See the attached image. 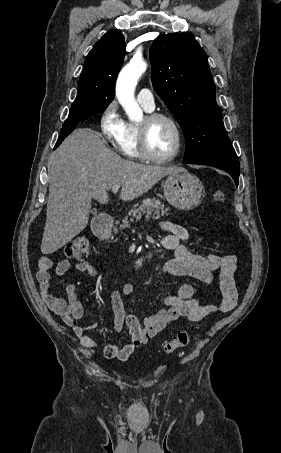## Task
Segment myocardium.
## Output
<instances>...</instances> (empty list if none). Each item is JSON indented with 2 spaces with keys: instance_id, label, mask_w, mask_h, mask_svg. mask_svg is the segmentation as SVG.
I'll list each match as a JSON object with an SVG mask.
<instances>
[{
  "instance_id": "f54148a6",
  "label": "myocardium",
  "mask_w": 281,
  "mask_h": 453,
  "mask_svg": "<svg viewBox=\"0 0 281 453\" xmlns=\"http://www.w3.org/2000/svg\"><path fill=\"white\" fill-rule=\"evenodd\" d=\"M163 121L166 122L174 131L175 134V142L174 146L172 149V152L166 156V157H158L156 156L150 146V129L152 126H154L156 123ZM181 142H182V132L177 124V122L161 113H152L148 114L145 116L144 120L141 122L139 125V150L141 155H143L145 158L157 162V163H167L176 158L180 151L181 147Z\"/></svg>"
}]
</instances>
